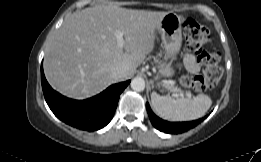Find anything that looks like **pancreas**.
<instances>
[{"instance_id":"obj_1","label":"pancreas","mask_w":261,"mask_h":162,"mask_svg":"<svg viewBox=\"0 0 261 162\" xmlns=\"http://www.w3.org/2000/svg\"><path fill=\"white\" fill-rule=\"evenodd\" d=\"M164 87L167 88V89H173V88H175L174 86L166 85V84L164 85Z\"/></svg>"}]
</instances>
